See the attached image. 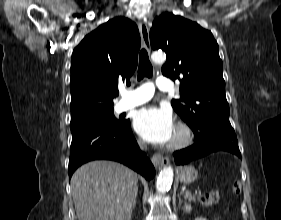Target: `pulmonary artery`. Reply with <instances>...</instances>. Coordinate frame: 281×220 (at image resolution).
<instances>
[{
    "mask_svg": "<svg viewBox=\"0 0 281 220\" xmlns=\"http://www.w3.org/2000/svg\"><path fill=\"white\" fill-rule=\"evenodd\" d=\"M156 86L162 91L172 89V82L165 76H159L156 80ZM154 95V85L144 83L135 89L125 90L122 92L120 108L127 110L148 102Z\"/></svg>",
    "mask_w": 281,
    "mask_h": 220,
    "instance_id": "pulmonary-artery-1",
    "label": "pulmonary artery"
}]
</instances>
